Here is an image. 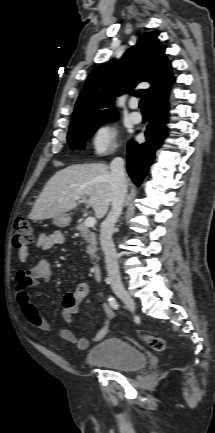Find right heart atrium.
<instances>
[{
  "label": "right heart atrium",
  "mask_w": 215,
  "mask_h": 433,
  "mask_svg": "<svg viewBox=\"0 0 215 433\" xmlns=\"http://www.w3.org/2000/svg\"><path fill=\"white\" fill-rule=\"evenodd\" d=\"M92 149L96 154H104L116 146V130L110 125L99 127L91 139Z\"/></svg>",
  "instance_id": "d8ad5b80"
}]
</instances>
